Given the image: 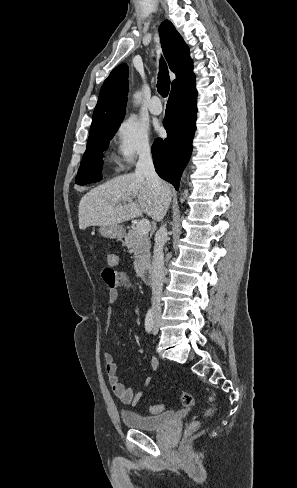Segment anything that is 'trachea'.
<instances>
[{"mask_svg":"<svg viewBox=\"0 0 297 488\" xmlns=\"http://www.w3.org/2000/svg\"><path fill=\"white\" fill-rule=\"evenodd\" d=\"M157 90L162 97H166L170 90V77L167 65L163 59H161L160 70L158 74Z\"/></svg>","mask_w":297,"mask_h":488,"instance_id":"3493384b","label":"trachea"}]
</instances>
